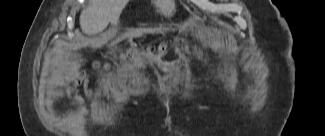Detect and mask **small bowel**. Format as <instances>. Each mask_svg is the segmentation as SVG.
<instances>
[{
  "instance_id": "1",
  "label": "small bowel",
  "mask_w": 325,
  "mask_h": 136,
  "mask_svg": "<svg viewBox=\"0 0 325 136\" xmlns=\"http://www.w3.org/2000/svg\"><path fill=\"white\" fill-rule=\"evenodd\" d=\"M74 79H73V83L74 85H79V84H83L84 88L86 89V91H90L89 88V78L88 75L84 72V71H77L74 74ZM167 78V76L165 77ZM73 102L75 104V106L79 109H83L84 108V102L81 99L80 96L78 95H74L73 97Z\"/></svg>"
}]
</instances>
